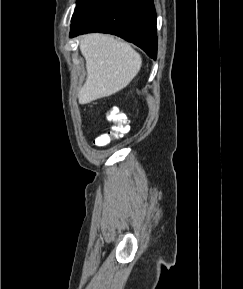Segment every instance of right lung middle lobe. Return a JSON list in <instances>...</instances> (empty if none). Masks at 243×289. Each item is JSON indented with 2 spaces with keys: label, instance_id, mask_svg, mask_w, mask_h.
I'll return each instance as SVG.
<instances>
[{
  "label": "right lung middle lobe",
  "instance_id": "obj_1",
  "mask_svg": "<svg viewBox=\"0 0 243 289\" xmlns=\"http://www.w3.org/2000/svg\"><path fill=\"white\" fill-rule=\"evenodd\" d=\"M81 1H82V0H78V1H77V6L79 5V3H80Z\"/></svg>",
  "mask_w": 243,
  "mask_h": 289
}]
</instances>
